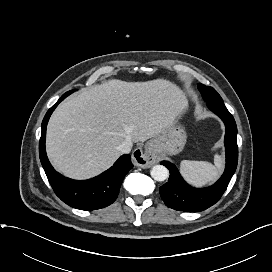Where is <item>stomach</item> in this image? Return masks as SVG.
Instances as JSON below:
<instances>
[{
    "label": "stomach",
    "instance_id": "obj_1",
    "mask_svg": "<svg viewBox=\"0 0 272 272\" xmlns=\"http://www.w3.org/2000/svg\"><path fill=\"white\" fill-rule=\"evenodd\" d=\"M186 140L187 135L183 127L174 123L152 138L146 149L155 156L176 155L183 150Z\"/></svg>",
    "mask_w": 272,
    "mask_h": 272
}]
</instances>
